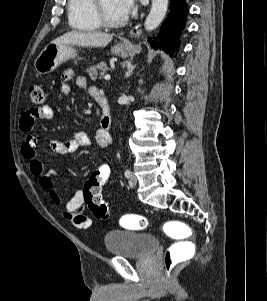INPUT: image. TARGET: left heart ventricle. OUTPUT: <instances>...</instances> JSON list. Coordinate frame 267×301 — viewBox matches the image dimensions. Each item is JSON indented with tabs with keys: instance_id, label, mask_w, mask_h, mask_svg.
<instances>
[{
	"instance_id": "obj_1",
	"label": "left heart ventricle",
	"mask_w": 267,
	"mask_h": 301,
	"mask_svg": "<svg viewBox=\"0 0 267 301\" xmlns=\"http://www.w3.org/2000/svg\"><path fill=\"white\" fill-rule=\"evenodd\" d=\"M101 1H102V8L104 14L108 19L117 21L123 18L115 9L113 0H101Z\"/></svg>"
}]
</instances>
